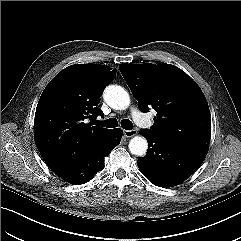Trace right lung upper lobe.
Here are the masks:
<instances>
[{"label": "right lung upper lobe", "instance_id": "obj_1", "mask_svg": "<svg viewBox=\"0 0 241 241\" xmlns=\"http://www.w3.org/2000/svg\"><path fill=\"white\" fill-rule=\"evenodd\" d=\"M115 75L108 66L77 64L63 69L44 89L36 108L34 137L48 165L86 152L112 132L85 119L104 116L97 105Z\"/></svg>", "mask_w": 241, "mask_h": 241}]
</instances>
